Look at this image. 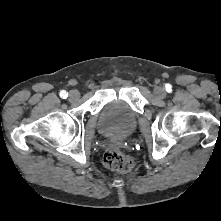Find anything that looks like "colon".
<instances>
[{
    "instance_id": "5ec220e1",
    "label": "colon",
    "mask_w": 221,
    "mask_h": 221,
    "mask_svg": "<svg viewBox=\"0 0 221 221\" xmlns=\"http://www.w3.org/2000/svg\"><path fill=\"white\" fill-rule=\"evenodd\" d=\"M103 162L109 169L123 173L130 172L135 166L132 158L115 147H111L105 152Z\"/></svg>"
}]
</instances>
